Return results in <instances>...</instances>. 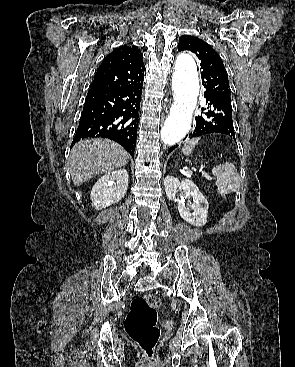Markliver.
Wrapping results in <instances>:
<instances>
[{
    "mask_svg": "<svg viewBox=\"0 0 295 367\" xmlns=\"http://www.w3.org/2000/svg\"><path fill=\"white\" fill-rule=\"evenodd\" d=\"M128 159L126 150L113 141L86 139L72 148L68 168L74 185L80 186L94 176L125 166Z\"/></svg>",
    "mask_w": 295,
    "mask_h": 367,
    "instance_id": "6515ba94",
    "label": "liver"
}]
</instances>
